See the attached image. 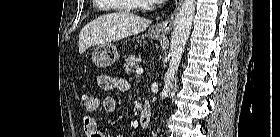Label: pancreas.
<instances>
[{
	"mask_svg": "<svg viewBox=\"0 0 280 137\" xmlns=\"http://www.w3.org/2000/svg\"><path fill=\"white\" fill-rule=\"evenodd\" d=\"M138 67L137 57L135 55H130L124 61V68L126 73L132 72Z\"/></svg>",
	"mask_w": 280,
	"mask_h": 137,
	"instance_id": "pancreas-1",
	"label": "pancreas"
}]
</instances>
